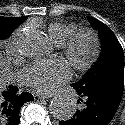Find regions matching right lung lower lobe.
Here are the masks:
<instances>
[{
  "label": "right lung lower lobe",
  "instance_id": "98d812e1",
  "mask_svg": "<svg viewBox=\"0 0 125 125\" xmlns=\"http://www.w3.org/2000/svg\"><path fill=\"white\" fill-rule=\"evenodd\" d=\"M2 102H0V125H18L19 109L27 101L34 100L31 93L18 92L16 86L10 85L1 93Z\"/></svg>",
  "mask_w": 125,
  "mask_h": 125
}]
</instances>
